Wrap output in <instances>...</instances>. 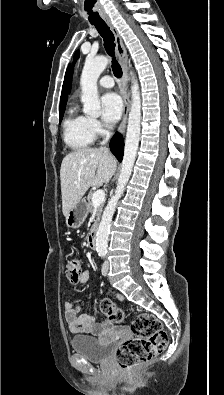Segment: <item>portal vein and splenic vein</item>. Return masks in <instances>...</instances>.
Instances as JSON below:
<instances>
[{
	"instance_id": "portal-vein-and-splenic-vein-1",
	"label": "portal vein and splenic vein",
	"mask_w": 224,
	"mask_h": 395,
	"mask_svg": "<svg viewBox=\"0 0 224 395\" xmlns=\"http://www.w3.org/2000/svg\"><path fill=\"white\" fill-rule=\"evenodd\" d=\"M104 200L105 192L101 189L97 190L92 197L93 206H99L101 203L104 202Z\"/></svg>"
}]
</instances>
